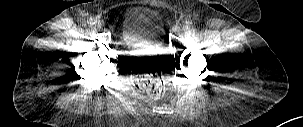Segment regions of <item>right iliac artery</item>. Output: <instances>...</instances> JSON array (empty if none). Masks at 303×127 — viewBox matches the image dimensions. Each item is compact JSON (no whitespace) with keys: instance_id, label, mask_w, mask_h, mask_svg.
Listing matches in <instances>:
<instances>
[{"instance_id":"1","label":"right iliac artery","mask_w":303,"mask_h":127,"mask_svg":"<svg viewBox=\"0 0 303 127\" xmlns=\"http://www.w3.org/2000/svg\"><path fill=\"white\" fill-rule=\"evenodd\" d=\"M87 22H88V24H90V25H94V24L96 23V20L90 18Z\"/></svg>"}]
</instances>
